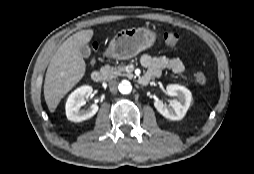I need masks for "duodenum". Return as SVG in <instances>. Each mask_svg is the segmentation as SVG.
<instances>
[{
  "label": "duodenum",
  "instance_id": "obj_1",
  "mask_svg": "<svg viewBox=\"0 0 254 174\" xmlns=\"http://www.w3.org/2000/svg\"><path fill=\"white\" fill-rule=\"evenodd\" d=\"M91 78L92 80L95 82V83H101L104 81L105 79V74L100 71V70H95L92 72L91 74ZM152 77L151 76H144L142 75L140 78H139V83L141 85H147L149 84V82L151 81Z\"/></svg>",
  "mask_w": 254,
  "mask_h": 174
}]
</instances>
